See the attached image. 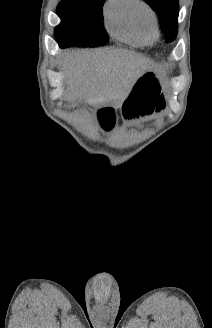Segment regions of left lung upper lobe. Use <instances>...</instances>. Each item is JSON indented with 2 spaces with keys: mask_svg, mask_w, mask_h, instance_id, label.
<instances>
[{
  "mask_svg": "<svg viewBox=\"0 0 212 328\" xmlns=\"http://www.w3.org/2000/svg\"><path fill=\"white\" fill-rule=\"evenodd\" d=\"M157 13L165 41L172 42L177 36L178 0H144Z\"/></svg>",
  "mask_w": 212,
  "mask_h": 328,
  "instance_id": "obj_1",
  "label": "left lung upper lobe"
}]
</instances>
